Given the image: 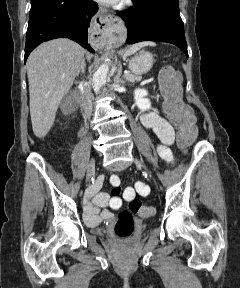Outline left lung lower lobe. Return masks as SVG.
Returning <instances> with one entry per match:
<instances>
[{"label": "left lung lower lobe", "mask_w": 240, "mask_h": 288, "mask_svg": "<svg viewBox=\"0 0 240 288\" xmlns=\"http://www.w3.org/2000/svg\"><path fill=\"white\" fill-rule=\"evenodd\" d=\"M133 8L118 12L128 31L126 42L152 40L178 46L188 57L178 0H133Z\"/></svg>", "instance_id": "obj_1"}]
</instances>
